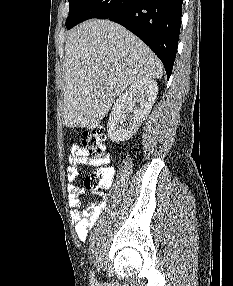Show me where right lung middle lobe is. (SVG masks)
Instances as JSON below:
<instances>
[{
	"instance_id": "dd1d6c3e",
	"label": "right lung middle lobe",
	"mask_w": 233,
	"mask_h": 286,
	"mask_svg": "<svg viewBox=\"0 0 233 286\" xmlns=\"http://www.w3.org/2000/svg\"><path fill=\"white\" fill-rule=\"evenodd\" d=\"M69 1V16L66 20V28H70L77 20L84 8L91 0H68Z\"/></svg>"
}]
</instances>
